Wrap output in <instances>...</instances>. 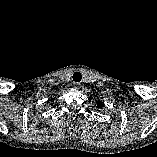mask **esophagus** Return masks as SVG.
Segmentation results:
<instances>
[{
	"label": "esophagus",
	"instance_id": "obj_1",
	"mask_svg": "<svg viewBox=\"0 0 157 157\" xmlns=\"http://www.w3.org/2000/svg\"><path fill=\"white\" fill-rule=\"evenodd\" d=\"M74 85H80V82H74Z\"/></svg>",
	"mask_w": 157,
	"mask_h": 157
}]
</instances>
